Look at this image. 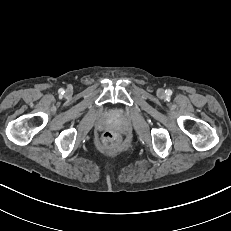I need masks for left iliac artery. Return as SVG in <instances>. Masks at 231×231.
<instances>
[{
  "instance_id": "obj_1",
  "label": "left iliac artery",
  "mask_w": 231,
  "mask_h": 231,
  "mask_svg": "<svg viewBox=\"0 0 231 231\" xmlns=\"http://www.w3.org/2000/svg\"><path fill=\"white\" fill-rule=\"evenodd\" d=\"M165 93H166L168 96L172 95V91H171L170 89H167V90L165 91Z\"/></svg>"
}]
</instances>
